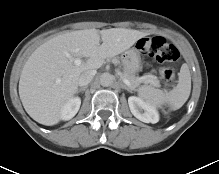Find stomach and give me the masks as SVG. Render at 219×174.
Wrapping results in <instances>:
<instances>
[{
    "label": "stomach",
    "mask_w": 219,
    "mask_h": 174,
    "mask_svg": "<svg viewBox=\"0 0 219 174\" xmlns=\"http://www.w3.org/2000/svg\"><path fill=\"white\" fill-rule=\"evenodd\" d=\"M122 64L124 70L131 74L139 72V70L141 69L140 50L136 47L127 50L124 53V57L122 58Z\"/></svg>",
    "instance_id": "stomach-1"
}]
</instances>
